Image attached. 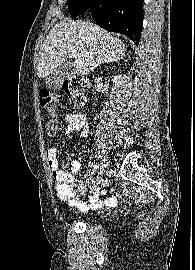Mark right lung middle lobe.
<instances>
[{"label":"right lung middle lobe","instance_id":"1","mask_svg":"<svg viewBox=\"0 0 195 270\" xmlns=\"http://www.w3.org/2000/svg\"><path fill=\"white\" fill-rule=\"evenodd\" d=\"M67 4L73 18L85 12L89 7L88 0H67Z\"/></svg>","mask_w":195,"mask_h":270}]
</instances>
